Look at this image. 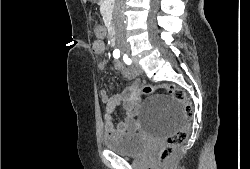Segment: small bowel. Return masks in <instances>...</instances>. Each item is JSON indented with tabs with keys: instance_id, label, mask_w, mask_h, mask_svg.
Masks as SVG:
<instances>
[{
	"instance_id": "small-bowel-1",
	"label": "small bowel",
	"mask_w": 250,
	"mask_h": 169,
	"mask_svg": "<svg viewBox=\"0 0 250 169\" xmlns=\"http://www.w3.org/2000/svg\"><path fill=\"white\" fill-rule=\"evenodd\" d=\"M97 40L94 43V51L97 55L103 54L105 50L104 31L100 27L95 28ZM97 67L105 68L103 61L98 62ZM114 68L120 71L123 77L132 81L129 87L118 94L110 95L103 91V99L106 103V110L104 114L105 130L107 135L115 133H134L138 130L139 124L137 115L141 108L140 102V86L141 81L136 79L133 72L124 68L121 62H114ZM118 106H122L124 111V120L116 122L114 119V112Z\"/></svg>"
}]
</instances>
